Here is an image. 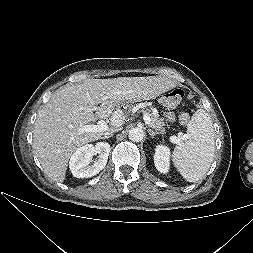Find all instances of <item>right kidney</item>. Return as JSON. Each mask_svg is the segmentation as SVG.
<instances>
[{"label": "right kidney", "instance_id": "obj_1", "mask_svg": "<svg viewBox=\"0 0 253 253\" xmlns=\"http://www.w3.org/2000/svg\"><path fill=\"white\" fill-rule=\"evenodd\" d=\"M110 145L98 142L78 148L70 158L69 167L74 177L88 178L98 174L107 164ZM98 154V159L91 165L92 156Z\"/></svg>", "mask_w": 253, "mask_h": 253}]
</instances>
